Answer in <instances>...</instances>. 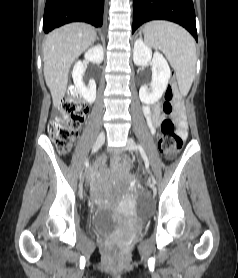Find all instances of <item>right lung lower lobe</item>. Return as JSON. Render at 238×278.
Returning <instances> with one entry per match:
<instances>
[{"instance_id": "1", "label": "right lung lower lobe", "mask_w": 238, "mask_h": 278, "mask_svg": "<svg viewBox=\"0 0 238 278\" xmlns=\"http://www.w3.org/2000/svg\"><path fill=\"white\" fill-rule=\"evenodd\" d=\"M104 0H47L43 18L45 33L70 22L101 27Z\"/></svg>"}]
</instances>
